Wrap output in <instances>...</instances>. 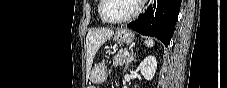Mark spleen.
Masks as SVG:
<instances>
[{
  "label": "spleen",
  "instance_id": "obj_1",
  "mask_svg": "<svg viewBox=\"0 0 227 88\" xmlns=\"http://www.w3.org/2000/svg\"><path fill=\"white\" fill-rule=\"evenodd\" d=\"M144 43L147 47H153L154 46V41L151 38H148Z\"/></svg>",
  "mask_w": 227,
  "mask_h": 88
}]
</instances>
